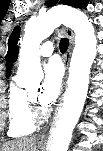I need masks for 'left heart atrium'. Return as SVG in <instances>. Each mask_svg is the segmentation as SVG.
I'll list each match as a JSON object with an SVG mask.
<instances>
[{"label":"left heart atrium","instance_id":"left-heart-atrium-1","mask_svg":"<svg viewBox=\"0 0 103 151\" xmlns=\"http://www.w3.org/2000/svg\"><path fill=\"white\" fill-rule=\"evenodd\" d=\"M62 69L56 61H51L45 66L44 80L38 94V101L43 109L50 106L57 98L62 84Z\"/></svg>","mask_w":103,"mask_h":151}]
</instances>
